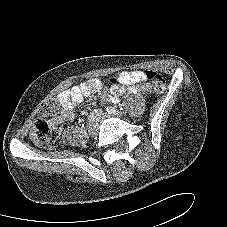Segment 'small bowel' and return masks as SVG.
<instances>
[{
    "label": "small bowel",
    "mask_w": 227,
    "mask_h": 227,
    "mask_svg": "<svg viewBox=\"0 0 227 227\" xmlns=\"http://www.w3.org/2000/svg\"><path fill=\"white\" fill-rule=\"evenodd\" d=\"M145 72L140 70L123 71L117 77V83L102 92L104 102L116 103L123 94H144L149 91L145 83ZM102 82L97 78H91L79 84L65 89L58 94L60 109L51 116L50 125L56 128L63 122L72 120L73 109L85 96L102 89Z\"/></svg>",
    "instance_id": "small-bowel-1"
}]
</instances>
